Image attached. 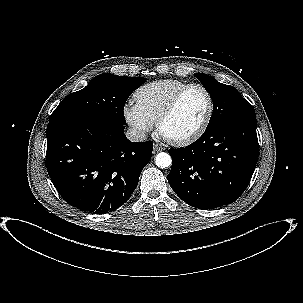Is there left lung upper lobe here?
<instances>
[{"label": "left lung upper lobe", "instance_id": "1", "mask_svg": "<svg viewBox=\"0 0 303 303\" xmlns=\"http://www.w3.org/2000/svg\"><path fill=\"white\" fill-rule=\"evenodd\" d=\"M194 76L210 93L213 101V113L206 130L225 123L256 117L254 108L234 87L222 84L206 74L196 73Z\"/></svg>", "mask_w": 303, "mask_h": 303}]
</instances>
